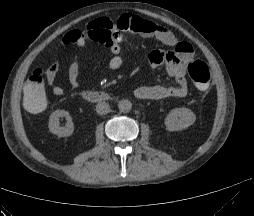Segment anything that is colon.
<instances>
[{"instance_id":"5ec220e1","label":"colon","mask_w":254,"mask_h":216,"mask_svg":"<svg viewBox=\"0 0 254 216\" xmlns=\"http://www.w3.org/2000/svg\"><path fill=\"white\" fill-rule=\"evenodd\" d=\"M84 36L88 40L99 42L102 44H110V33L101 29H89L84 32ZM50 66L58 68V63L54 62ZM187 72L195 86L199 90H206L209 87L212 79V69L206 62L192 58L187 64ZM43 73L42 68H36L30 75L23 90V102L26 109L34 114L44 112L49 104L47 94L43 88Z\"/></svg>"}]
</instances>
